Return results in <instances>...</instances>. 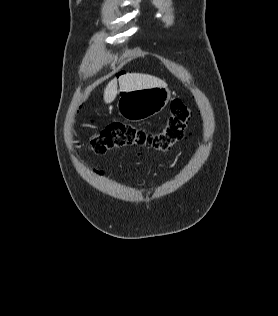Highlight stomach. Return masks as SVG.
<instances>
[{
  "mask_svg": "<svg viewBox=\"0 0 278 316\" xmlns=\"http://www.w3.org/2000/svg\"><path fill=\"white\" fill-rule=\"evenodd\" d=\"M171 97L167 87H152L122 93L117 109L129 121H141L161 112Z\"/></svg>",
  "mask_w": 278,
  "mask_h": 316,
  "instance_id": "obj_1",
  "label": "stomach"
}]
</instances>
